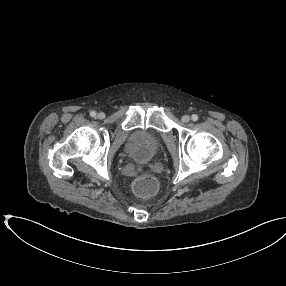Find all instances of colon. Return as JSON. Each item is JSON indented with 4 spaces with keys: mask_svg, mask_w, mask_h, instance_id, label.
Listing matches in <instances>:
<instances>
[{
    "mask_svg": "<svg viewBox=\"0 0 286 286\" xmlns=\"http://www.w3.org/2000/svg\"><path fill=\"white\" fill-rule=\"evenodd\" d=\"M133 189L139 196L148 197L157 191L158 182L154 176L145 174L135 181Z\"/></svg>",
    "mask_w": 286,
    "mask_h": 286,
    "instance_id": "5ec220e1",
    "label": "colon"
}]
</instances>
